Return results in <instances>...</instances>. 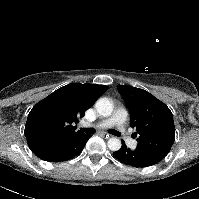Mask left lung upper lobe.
I'll list each match as a JSON object with an SVG mask.
<instances>
[{
    "label": "left lung upper lobe",
    "instance_id": "obj_1",
    "mask_svg": "<svg viewBox=\"0 0 199 199\" xmlns=\"http://www.w3.org/2000/svg\"><path fill=\"white\" fill-rule=\"evenodd\" d=\"M131 114V127L136 128L137 148L165 157L174 141L175 126L170 109L149 92L130 86H117Z\"/></svg>",
    "mask_w": 199,
    "mask_h": 199
}]
</instances>
